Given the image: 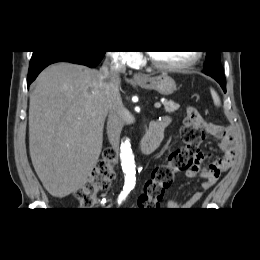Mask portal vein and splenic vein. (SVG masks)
Wrapping results in <instances>:
<instances>
[{
  "label": "portal vein and splenic vein",
  "instance_id": "18ae733b",
  "mask_svg": "<svg viewBox=\"0 0 260 260\" xmlns=\"http://www.w3.org/2000/svg\"><path fill=\"white\" fill-rule=\"evenodd\" d=\"M155 108H160L161 107V103H159V102H157V103H155Z\"/></svg>",
  "mask_w": 260,
  "mask_h": 260
}]
</instances>
